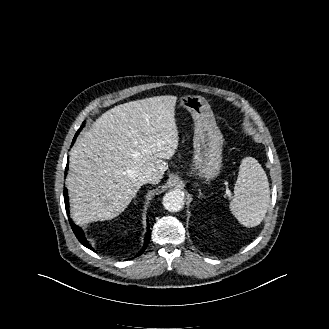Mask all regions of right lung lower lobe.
<instances>
[{"label": "right lung lower lobe", "mask_w": 329, "mask_h": 329, "mask_svg": "<svg viewBox=\"0 0 329 329\" xmlns=\"http://www.w3.org/2000/svg\"><path fill=\"white\" fill-rule=\"evenodd\" d=\"M75 139H76V137H75ZM75 139H74V141H75ZM67 170H68V165H66V168H65V175L67 174ZM64 201H65L66 211H68L69 203H68V193H67L66 188L64 189ZM68 216H69V214H68ZM69 222H70L71 228H72L75 236L79 240V242L82 245H84L85 247H87L91 250H94L93 247L86 240V237H85L82 229L80 227L76 226L75 224H73L72 220L70 218H69ZM147 225H148V232H147L146 237H145L144 246H143L142 250L139 252V254L137 256L141 255L145 251V249L147 248V245L149 244V241H150V228H149V223L148 222H147Z\"/></svg>", "instance_id": "right-lung-lower-lobe-1"}]
</instances>
